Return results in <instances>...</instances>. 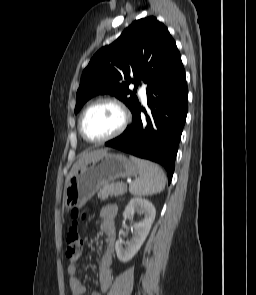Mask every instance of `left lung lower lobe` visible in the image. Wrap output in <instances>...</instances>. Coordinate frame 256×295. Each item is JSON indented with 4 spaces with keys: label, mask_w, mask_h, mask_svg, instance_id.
Listing matches in <instances>:
<instances>
[{
    "label": "left lung lower lobe",
    "mask_w": 256,
    "mask_h": 295,
    "mask_svg": "<svg viewBox=\"0 0 256 295\" xmlns=\"http://www.w3.org/2000/svg\"><path fill=\"white\" fill-rule=\"evenodd\" d=\"M147 102L151 111H144L146 119L141 120L143 109L139 105L132 113L131 126L105 145L163 165L170 183L188 110V88L181 60L148 88Z\"/></svg>",
    "instance_id": "1"
}]
</instances>
